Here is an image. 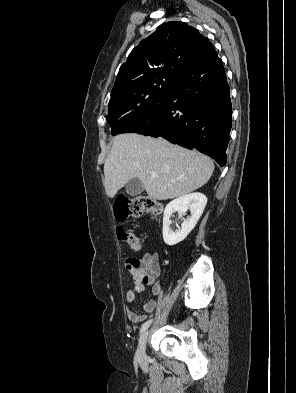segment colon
I'll use <instances>...</instances> for the list:
<instances>
[{"label":"colon","mask_w":296,"mask_h":393,"mask_svg":"<svg viewBox=\"0 0 296 393\" xmlns=\"http://www.w3.org/2000/svg\"><path fill=\"white\" fill-rule=\"evenodd\" d=\"M162 211L161 205L152 197L140 196L134 200L121 199L115 205V216L118 221L136 218L143 213L158 215ZM119 240L126 242L132 249L140 250L141 244L137 236L122 226L116 229Z\"/></svg>","instance_id":"colon-1"}]
</instances>
